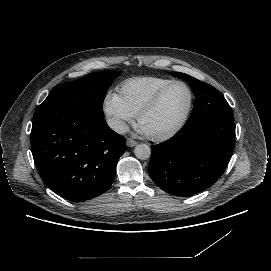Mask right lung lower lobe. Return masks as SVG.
I'll return each mask as SVG.
<instances>
[{
	"instance_id": "obj_1",
	"label": "right lung lower lobe",
	"mask_w": 271,
	"mask_h": 271,
	"mask_svg": "<svg viewBox=\"0 0 271 271\" xmlns=\"http://www.w3.org/2000/svg\"><path fill=\"white\" fill-rule=\"evenodd\" d=\"M126 140L95 114L51 113L33 120L31 150L44 183L75 201L97 197L114 181Z\"/></svg>"
}]
</instances>
